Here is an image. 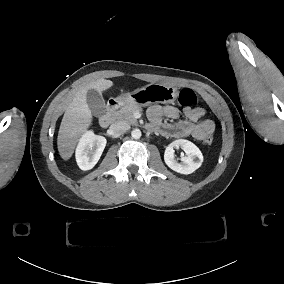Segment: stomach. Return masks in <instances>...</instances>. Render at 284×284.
<instances>
[{
	"mask_svg": "<svg viewBox=\"0 0 284 284\" xmlns=\"http://www.w3.org/2000/svg\"><path fill=\"white\" fill-rule=\"evenodd\" d=\"M177 88L161 83H151L131 93L121 95L117 101L121 105L147 106L155 103L169 104L176 101Z\"/></svg>",
	"mask_w": 284,
	"mask_h": 284,
	"instance_id": "stomach-1",
	"label": "stomach"
}]
</instances>
